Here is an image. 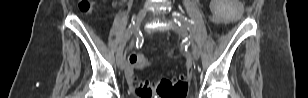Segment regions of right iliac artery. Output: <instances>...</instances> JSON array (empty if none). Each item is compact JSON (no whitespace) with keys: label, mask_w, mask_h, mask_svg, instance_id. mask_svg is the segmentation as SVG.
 I'll return each instance as SVG.
<instances>
[{"label":"right iliac artery","mask_w":308,"mask_h":98,"mask_svg":"<svg viewBox=\"0 0 308 98\" xmlns=\"http://www.w3.org/2000/svg\"><path fill=\"white\" fill-rule=\"evenodd\" d=\"M133 26H134V22H133V25H130L129 28L127 29V31L122 36V39H121L120 44H119L118 49H117V55L122 53L126 42L130 38V36L133 34Z\"/></svg>","instance_id":"82829eb1"}]
</instances>
